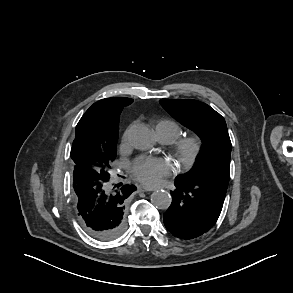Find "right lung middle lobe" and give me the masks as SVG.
Returning <instances> with one entry per match:
<instances>
[{
    "label": "right lung middle lobe",
    "mask_w": 293,
    "mask_h": 293,
    "mask_svg": "<svg viewBox=\"0 0 293 293\" xmlns=\"http://www.w3.org/2000/svg\"><path fill=\"white\" fill-rule=\"evenodd\" d=\"M77 149H84L85 143L82 140L76 141V139L73 141L72 148ZM115 148L116 145L106 147L103 150L101 149H95L97 151V154L92 157V161L97 165V168H92L96 170L101 175L110 176L109 171L111 169L112 162L115 160Z\"/></svg>",
    "instance_id": "dd1d6c3e"
}]
</instances>
